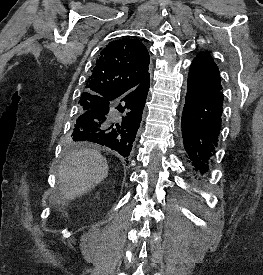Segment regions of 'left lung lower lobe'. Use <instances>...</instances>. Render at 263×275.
Segmentation results:
<instances>
[{
  "mask_svg": "<svg viewBox=\"0 0 263 275\" xmlns=\"http://www.w3.org/2000/svg\"><path fill=\"white\" fill-rule=\"evenodd\" d=\"M220 73L208 52L199 53L188 75L181 128L187 164L196 173L209 171L221 130L224 95Z\"/></svg>",
  "mask_w": 263,
  "mask_h": 275,
  "instance_id": "left-lung-lower-lobe-1",
  "label": "left lung lower lobe"
}]
</instances>
